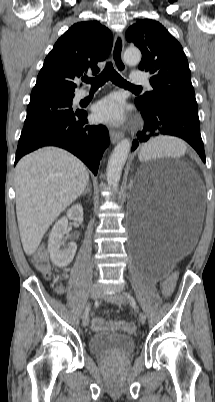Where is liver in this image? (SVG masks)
<instances>
[{
  "mask_svg": "<svg viewBox=\"0 0 215 402\" xmlns=\"http://www.w3.org/2000/svg\"><path fill=\"white\" fill-rule=\"evenodd\" d=\"M86 166L71 153L44 147L24 156L15 168L16 213L24 252H36L56 218L85 190Z\"/></svg>",
  "mask_w": 215,
  "mask_h": 402,
  "instance_id": "liver-1",
  "label": "liver"
}]
</instances>
